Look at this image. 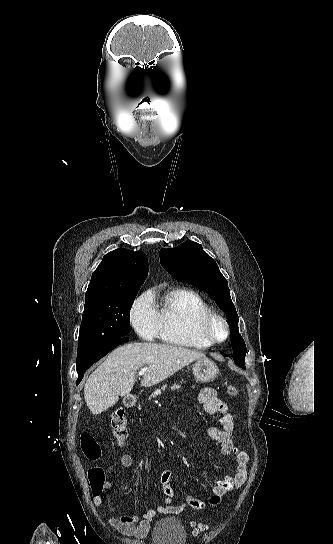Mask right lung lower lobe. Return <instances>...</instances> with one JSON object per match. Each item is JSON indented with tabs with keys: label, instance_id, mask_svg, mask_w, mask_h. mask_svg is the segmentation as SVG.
Instances as JSON below:
<instances>
[{
	"label": "right lung lower lobe",
	"instance_id": "1",
	"mask_svg": "<svg viewBox=\"0 0 333 544\" xmlns=\"http://www.w3.org/2000/svg\"><path fill=\"white\" fill-rule=\"evenodd\" d=\"M129 340L128 337H125V338H120V339H117L115 340L109 347L103 349L102 351L98 352L96 355H94L93 357H91L89 360H87L86 362H84L82 365L76 367L77 368V372H78V379L76 381V384L78 385L80 383V381L82 380L83 378V375L85 373V371L90 367L92 366L93 363L97 362L99 359H101L102 357H104L108 352H110L112 349H114L115 347H117L118 345L120 344H123L125 342H127Z\"/></svg>",
	"mask_w": 333,
	"mask_h": 544
}]
</instances>
